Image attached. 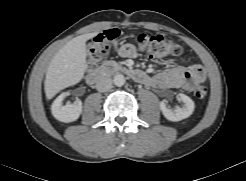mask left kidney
Segmentation results:
<instances>
[{"label": "left kidney", "instance_id": "obj_1", "mask_svg": "<svg viewBox=\"0 0 246 181\" xmlns=\"http://www.w3.org/2000/svg\"><path fill=\"white\" fill-rule=\"evenodd\" d=\"M178 97L184 105L181 108L177 107L174 110L167 107L166 100L160 102V109L164 117L174 122L188 118L193 113L195 108L193 100L187 95L180 93Z\"/></svg>", "mask_w": 246, "mask_h": 181}]
</instances>
